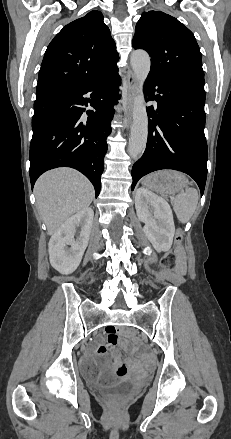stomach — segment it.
I'll list each match as a JSON object with an SVG mask.
<instances>
[{"label":"stomach","instance_id":"1","mask_svg":"<svg viewBox=\"0 0 231 439\" xmlns=\"http://www.w3.org/2000/svg\"><path fill=\"white\" fill-rule=\"evenodd\" d=\"M143 182L153 191L171 195L183 190L188 180L177 171L164 170L148 175Z\"/></svg>","mask_w":231,"mask_h":439}]
</instances>
